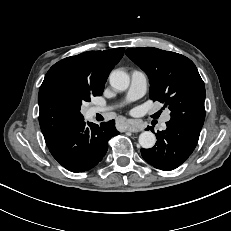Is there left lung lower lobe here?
Instances as JSON below:
<instances>
[{
  "instance_id": "1",
  "label": "left lung lower lobe",
  "mask_w": 231,
  "mask_h": 231,
  "mask_svg": "<svg viewBox=\"0 0 231 231\" xmlns=\"http://www.w3.org/2000/svg\"><path fill=\"white\" fill-rule=\"evenodd\" d=\"M164 131L156 134L157 142L151 149H141V154L150 165L170 171L187 160L195 149L200 132L181 123L168 121ZM152 129V127H147Z\"/></svg>"
}]
</instances>
